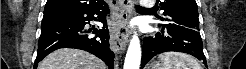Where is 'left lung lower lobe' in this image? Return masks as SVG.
Instances as JSON below:
<instances>
[{
  "mask_svg": "<svg viewBox=\"0 0 246 69\" xmlns=\"http://www.w3.org/2000/svg\"><path fill=\"white\" fill-rule=\"evenodd\" d=\"M177 51L193 55L207 66L202 49L200 33L187 28L163 27L156 37H147L143 42L141 68L157 54Z\"/></svg>",
  "mask_w": 246,
  "mask_h": 69,
  "instance_id": "0a47b994",
  "label": "left lung lower lobe"
}]
</instances>
